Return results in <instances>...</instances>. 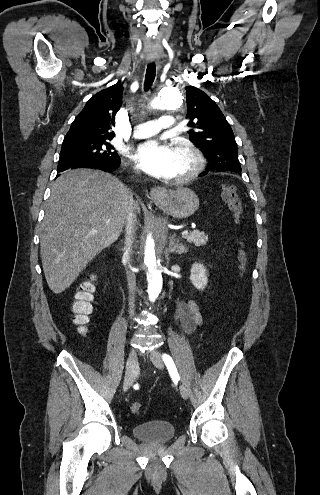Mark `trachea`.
Here are the masks:
<instances>
[{
  "label": "trachea",
  "instance_id": "obj_1",
  "mask_svg": "<svg viewBox=\"0 0 320 495\" xmlns=\"http://www.w3.org/2000/svg\"><path fill=\"white\" fill-rule=\"evenodd\" d=\"M155 73H156L155 64L154 63L149 64L147 66L146 75H145V83H144L145 91H148V89L154 82Z\"/></svg>",
  "mask_w": 320,
  "mask_h": 495
}]
</instances>
